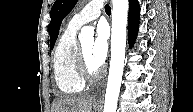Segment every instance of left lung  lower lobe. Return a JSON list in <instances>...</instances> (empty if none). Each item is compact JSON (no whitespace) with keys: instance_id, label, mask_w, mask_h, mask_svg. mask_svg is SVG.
Returning a JSON list of instances; mask_svg holds the SVG:
<instances>
[{"instance_id":"obj_1","label":"left lung lower lobe","mask_w":193,"mask_h":112,"mask_svg":"<svg viewBox=\"0 0 193 112\" xmlns=\"http://www.w3.org/2000/svg\"><path fill=\"white\" fill-rule=\"evenodd\" d=\"M129 17H128V33L129 46L131 47L135 41L139 26L140 6L138 0H129Z\"/></svg>"}]
</instances>
